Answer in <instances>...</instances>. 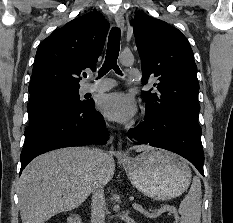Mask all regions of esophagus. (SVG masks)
<instances>
[{"label":"esophagus","instance_id":"34e87169","mask_svg":"<svg viewBox=\"0 0 233 223\" xmlns=\"http://www.w3.org/2000/svg\"><path fill=\"white\" fill-rule=\"evenodd\" d=\"M115 22L117 24V27L120 28L121 31H123L124 30V17H123V15L120 12L116 13V15H115ZM118 144H119V148H121V141H119ZM119 157L120 158H127L126 152L120 150Z\"/></svg>","mask_w":233,"mask_h":223}]
</instances>
